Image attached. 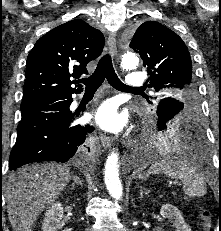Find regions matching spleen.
<instances>
[{
	"label": "spleen",
	"instance_id": "obj_1",
	"mask_svg": "<svg viewBox=\"0 0 221 231\" xmlns=\"http://www.w3.org/2000/svg\"><path fill=\"white\" fill-rule=\"evenodd\" d=\"M148 174H164L181 180L184 192L192 197H202L207 192L203 174L187 157L165 155L151 165Z\"/></svg>",
	"mask_w": 221,
	"mask_h": 231
}]
</instances>
